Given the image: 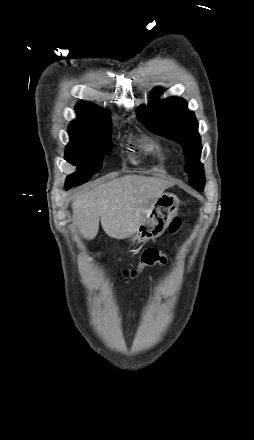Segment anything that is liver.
Returning <instances> with one entry per match:
<instances>
[{"label": "liver", "mask_w": 254, "mask_h": 440, "mask_svg": "<svg viewBox=\"0 0 254 440\" xmlns=\"http://www.w3.org/2000/svg\"><path fill=\"white\" fill-rule=\"evenodd\" d=\"M169 186L166 180L141 175L101 183L73 201L74 225L90 240L98 234L99 221L108 236L127 238L137 231L154 201Z\"/></svg>", "instance_id": "6515ba94"}]
</instances>
